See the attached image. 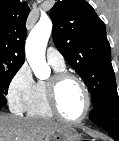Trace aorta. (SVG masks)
I'll use <instances>...</instances> for the list:
<instances>
[{
  "label": "aorta",
  "mask_w": 119,
  "mask_h": 141,
  "mask_svg": "<svg viewBox=\"0 0 119 141\" xmlns=\"http://www.w3.org/2000/svg\"><path fill=\"white\" fill-rule=\"evenodd\" d=\"M51 32V20L49 18H41L26 40V58L35 76L39 79H47L50 76V68L46 63L45 51Z\"/></svg>",
  "instance_id": "762f6f07"
}]
</instances>
